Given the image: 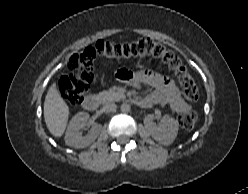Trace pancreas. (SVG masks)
I'll return each instance as SVG.
<instances>
[{
  "instance_id": "cf45deb5",
  "label": "pancreas",
  "mask_w": 248,
  "mask_h": 194,
  "mask_svg": "<svg viewBox=\"0 0 248 194\" xmlns=\"http://www.w3.org/2000/svg\"><path fill=\"white\" fill-rule=\"evenodd\" d=\"M98 97L101 99L103 103H106V102L118 101L120 99H123L125 96L115 90H108V91L100 92L98 94Z\"/></svg>"
}]
</instances>
